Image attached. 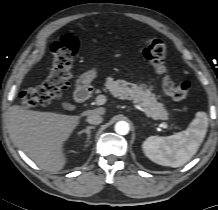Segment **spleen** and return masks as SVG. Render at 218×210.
I'll list each match as a JSON object with an SVG mask.
<instances>
[{"label":"spleen","instance_id":"3e777b00","mask_svg":"<svg viewBox=\"0 0 218 210\" xmlns=\"http://www.w3.org/2000/svg\"><path fill=\"white\" fill-rule=\"evenodd\" d=\"M208 128L206 112L199 111L189 127L171 136H150L142 145L145 155L153 162L168 167L186 164L198 151Z\"/></svg>","mask_w":218,"mask_h":210}]
</instances>
